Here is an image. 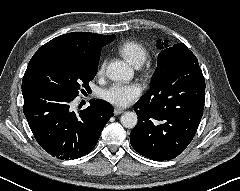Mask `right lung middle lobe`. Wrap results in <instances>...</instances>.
<instances>
[{"instance_id": "right-lung-middle-lobe-1", "label": "right lung middle lobe", "mask_w": 240, "mask_h": 191, "mask_svg": "<svg viewBox=\"0 0 240 191\" xmlns=\"http://www.w3.org/2000/svg\"><path fill=\"white\" fill-rule=\"evenodd\" d=\"M99 60H77L56 55L43 56L28 65L22 91L44 90L75 98L89 88L98 70Z\"/></svg>"}]
</instances>
